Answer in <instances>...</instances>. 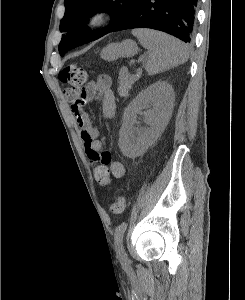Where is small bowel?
<instances>
[{"label":"small bowel","instance_id":"c3829d8e","mask_svg":"<svg viewBox=\"0 0 245 300\" xmlns=\"http://www.w3.org/2000/svg\"><path fill=\"white\" fill-rule=\"evenodd\" d=\"M92 100L100 102L105 117L112 118L115 115V96L111 89V78L108 75L97 76L71 105V111L80 129L85 153L89 161L95 164L92 165L95 181L100 184L101 188H106L107 184H110L111 176L122 178L126 170L123 163L113 160L110 152L103 150L104 144L100 139L99 131L93 126L90 116L85 111L86 105Z\"/></svg>","mask_w":245,"mask_h":300}]
</instances>
